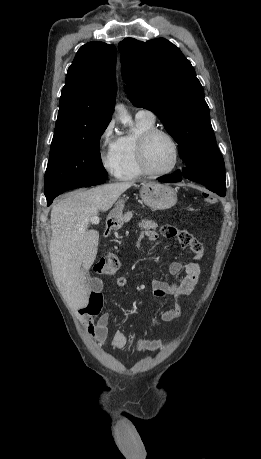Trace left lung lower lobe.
I'll list each match as a JSON object with an SVG mask.
<instances>
[{
  "label": "left lung lower lobe",
  "mask_w": 261,
  "mask_h": 459,
  "mask_svg": "<svg viewBox=\"0 0 261 459\" xmlns=\"http://www.w3.org/2000/svg\"><path fill=\"white\" fill-rule=\"evenodd\" d=\"M183 177L201 183L206 186L207 189L215 192L219 196L224 197L226 194L225 174L221 173H203L193 177H186L181 171L177 170L173 174L160 177L159 181L168 183L179 182Z\"/></svg>",
  "instance_id": "left-lung-lower-lobe-1"
}]
</instances>
